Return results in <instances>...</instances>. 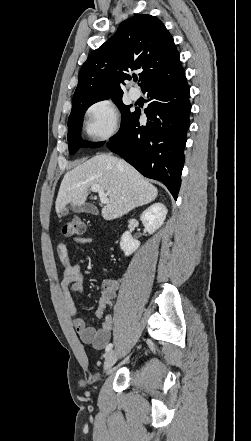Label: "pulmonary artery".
Instances as JSON below:
<instances>
[{"instance_id": "pulmonary-artery-1", "label": "pulmonary artery", "mask_w": 251, "mask_h": 441, "mask_svg": "<svg viewBox=\"0 0 251 441\" xmlns=\"http://www.w3.org/2000/svg\"><path fill=\"white\" fill-rule=\"evenodd\" d=\"M140 95H141V93H140V91H139L137 88H135V87L130 88V90H129V96H130V98H131L132 100H137V99H139V98H140Z\"/></svg>"}]
</instances>
